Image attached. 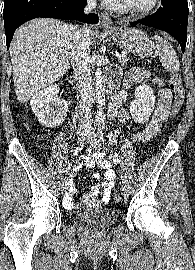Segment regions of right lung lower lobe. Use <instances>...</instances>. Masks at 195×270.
<instances>
[{"label":"right lung lower lobe","instance_id":"right-lung-lower-lobe-1","mask_svg":"<svg viewBox=\"0 0 195 270\" xmlns=\"http://www.w3.org/2000/svg\"><path fill=\"white\" fill-rule=\"evenodd\" d=\"M86 0H5L4 26L9 48L15 30L23 23L38 17L79 20L96 24L98 16L83 14Z\"/></svg>","mask_w":195,"mask_h":270}]
</instances>
